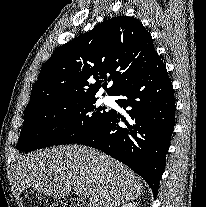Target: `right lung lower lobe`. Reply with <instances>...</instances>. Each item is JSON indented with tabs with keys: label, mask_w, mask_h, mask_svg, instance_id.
<instances>
[{
	"label": "right lung lower lobe",
	"mask_w": 206,
	"mask_h": 207,
	"mask_svg": "<svg viewBox=\"0 0 206 207\" xmlns=\"http://www.w3.org/2000/svg\"><path fill=\"white\" fill-rule=\"evenodd\" d=\"M114 95L122 96L116 103L128 108V119L111 110L96 129L75 143L99 149L130 167L146 180L156 198L175 125L173 86L159 55ZM120 120L126 126L120 127Z\"/></svg>",
	"instance_id": "98d812e1"
}]
</instances>
